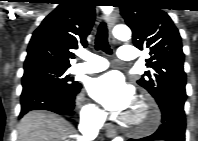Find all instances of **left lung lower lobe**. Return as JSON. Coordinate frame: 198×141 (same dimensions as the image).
I'll use <instances>...</instances> for the list:
<instances>
[{
    "label": "left lung lower lobe",
    "instance_id": "obj_1",
    "mask_svg": "<svg viewBox=\"0 0 198 141\" xmlns=\"http://www.w3.org/2000/svg\"><path fill=\"white\" fill-rule=\"evenodd\" d=\"M186 93L170 92L156 99L162 113V123L152 135L130 141H185V112Z\"/></svg>",
    "mask_w": 198,
    "mask_h": 141
}]
</instances>
